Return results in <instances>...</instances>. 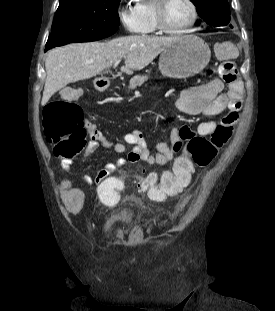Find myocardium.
Segmentation results:
<instances>
[{
  "mask_svg": "<svg viewBox=\"0 0 275 311\" xmlns=\"http://www.w3.org/2000/svg\"><path fill=\"white\" fill-rule=\"evenodd\" d=\"M170 0H155V5H154V15H155V21H156V27L157 30L164 34H169V35H179V34H184L186 33L190 28H192L197 19H198V9L197 6L194 2V0H186L188 5L190 6L192 17L190 21L183 26L182 28L179 29H171L167 27L165 20H164V12L166 9L167 4L169 3Z\"/></svg>",
  "mask_w": 275,
  "mask_h": 311,
  "instance_id": "1",
  "label": "myocardium"
}]
</instances>
